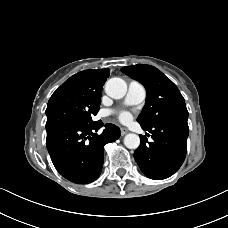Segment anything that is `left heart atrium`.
Segmentation results:
<instances>
[{
  "instance_id": "1",
  "label": "left heart atrium",
  "mask_w": 228,
  "mask_h": 228,
  "mask_svg": "<svg viewBox=\"0 0 228 228\" xmlns=\"http://www.w3.org/2000/svg\"><path fill=\"white\" fill-rule=\"evenodd\" d=\"M129 118H130V115H129L128 113H122V114L120 115V119H121L123 122L128 121Z\"/></svg>"
}]
</instances>
